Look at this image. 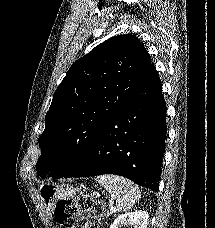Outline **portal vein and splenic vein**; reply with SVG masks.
I'll list each match as a JSON object with an SVG mask.
<instances>
[{
  "label": "portal vein and splenic vein",
  "instance_id": "18ae733b",
  "mask_svg": "<svg viewBox=\"0 0 215 228\" xmlns=\"http://www.w3.org/2000/svg\"><path fill=\"white\" fill-rule=\"evenodd\" d=\"M110 212L111 214H113V212H116L115 208H113V206H110Z\"/></svg>",
  "mask_w": 215,
  "mask_h": 228
}]
</instances>
